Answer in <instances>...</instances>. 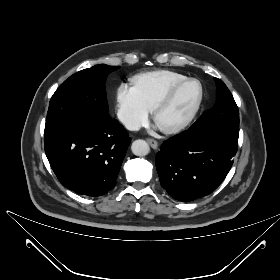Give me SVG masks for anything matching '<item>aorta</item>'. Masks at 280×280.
Masks as SVG:
<instances>
[{"instance_id": "1", "label": "aorta", "mask_w": 280, "mask_h": 280, "mask_svg": "<svg viewBox=\"0 0 280 280\" xmlns=\"http://www.w3.org/2000/svg\"><path fill=\"white\" fill-rule=\"evenodd\" d=\"M131 150L136 156H146L150 152V147L146 141L139 139L132 143Z\"/></svg>"}]
</instances>
